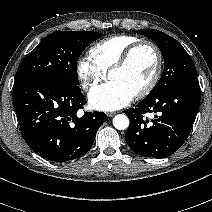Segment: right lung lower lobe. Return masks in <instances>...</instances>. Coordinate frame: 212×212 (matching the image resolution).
<instances>
[{"label":"right lung lower lobe","mask_w":212,"mask_h":212,"mask_svg":"<svg viewBox=\"0 0 212 212\" xmlns=\"http://www.w3.org/2000/svg\"><path fill=\"white\" fill-rule=\"evenodd\" d=\"M85 103L80 89L51 78L21 80L13 88V104L24 140L52 162L83 156L107 120L104 112H86L77 117Z\"/></svg>","instance_id":"1"}]
</instances>
